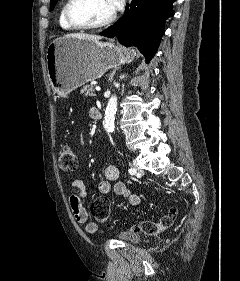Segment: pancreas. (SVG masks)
Here are the masks:
<instances>
[{
	"mask_svg": "<svg viewBox=\"0 0 240 281\" xmlns=\"http://www.w3.org/2000/svg\"><path fill=\"white\" fill-rule=\"evenodd\" d=\"M94 86L92 84L90 85H86L83 87V89H81V93L84 96H94Z\"/></svg>",
	"mask_w": 240,
	"mask_h": 281,
	"instance_id": "cf45deb5",
	"label": "pancreas"
}]
</instances>
